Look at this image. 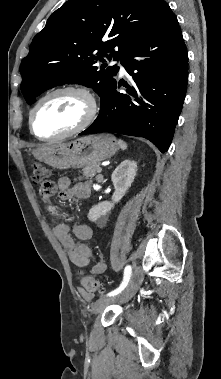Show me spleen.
I'll use <instances>...</instances> for the list:
<instances>
[{
  "instance_id": "3e777b00",
  "label": "spleen",
  "mask_w": 221,
  "mask_h": 379,
  "mask_svg": "<svg viewBox=\"0 0 221 379\" xmlns=\"http://www.w3.org/2000/svg\"><path fill=\"white\" fill-rule=\"evenodd\" d=\"M119 145L121 148L125 149L127 147V144L123 140H119Z\"/></svg>"
}]
</instances>
